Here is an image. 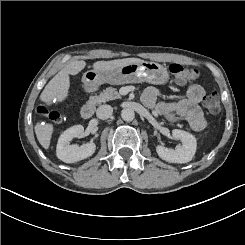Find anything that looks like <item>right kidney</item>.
<instances>
[{
  "label": "right kidney",
  "instance_id": "ca27d5eb",
  "mask_svg": "<svg viewBox=\"0 0 245 245\" xmlns=\"http://www.w3.org/2000/svg\"><path fill=\"white\" fill-rule=\"evenodd\" d=\"M84 127L81 125L73 126L64 131L58 139L57 157L64 163H75L92 156L96 150L94 142L86 143L82 146L71 145L74 138L82 137Z\"/></svg>",
  "mask_w": 245,
  "mask_h": 245
}]
</instances>
